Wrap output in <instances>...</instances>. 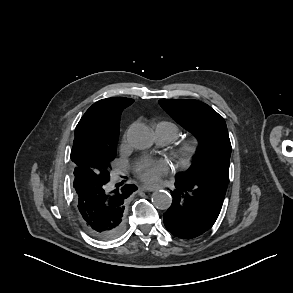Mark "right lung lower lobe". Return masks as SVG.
<instances>
[{
    "label": "right lung lower lobe",
    "mask_w": 293,
    "mask_h": 293,
    "mask_svg": "<svg viewBox=\"0 0 293 293\" xmlns=\"http://www.w3.org/2000/svg\"><path fill=\"white\" fill-rule=\"evenodd\" d=\"M110 176H100L92 170L75 168L73 187L79 218L93 237L110 240L119 236L125 226V201L137 188L116 185L110 188Z\"/></svg>",
    "instance_id": "right-lung-lower-lobe-1"
}]
</instances>
